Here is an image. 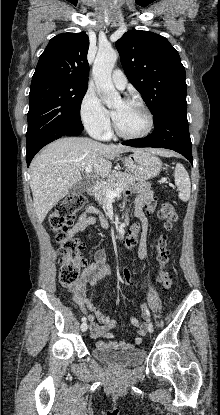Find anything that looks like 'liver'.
I'll return each mask as SVG.
<instances>
[{
    "mask_svg": "<svg viewBox=\"0 0 220 415\" xmlns=\"http://www.w3.org/2000/svg\"><path fill=\"white\" fill-rule=\"evenodd\" d=\"M125 145H106L85 137H63L49 144L31 164L30 187L39 222L81 180V173L91 165L101 177L110 174L114 159L124 152H135ZM162 156L173 153L155 150Z\"/></svg>",
    "mask_w": 220,
    "mask_h": 415,
    "instance_id": "6515ba94",
    "label": "liver"
}]
</instances>
